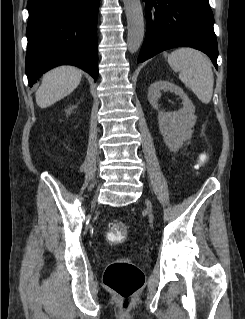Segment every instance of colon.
<instances>
[{"label":"colon","instance_id":"1","mask_svg":"<svg viewBox=\"0 0 245 319\" xmlns=\"http://www.w3.org/2000/svg\"><path fill=\"white\" fill-rule=\"evenodd\" d=\"M205 161L206 156L201 157L200 163ZM108 228L107 237L114 243L124 241L129 233V226L123 221H112ZM103 283L121 301L130 304L144 284V274L129 260L117 258L107 266Z\"/></svg>","mask_w":245,"mask_h":319}]
</instances>
